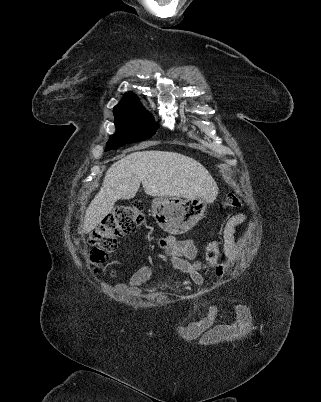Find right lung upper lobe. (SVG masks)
Masks as SVG:
<instances>
[{
    "instance_id": "right-lung-upper-lobe-1",
    "label": "right lung upper lobe",
    "mask_w": 321,
    "mask_h": 402,
    "mask_svg": "<svg viewBox=\"0 0 321 402\" xmlns=\"http://www.w3.org/2000/svg\"><path fill=\"white\" fill-rule=\"evenodd\" d=\"M118 105L131 106V107H142L138 98L134 94H125Z\"/></svg>"
}]
</instances>
